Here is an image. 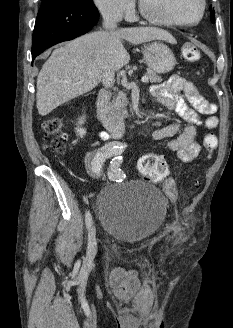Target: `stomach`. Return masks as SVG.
<instances>
[{
	"label": "stomach",
	"instance_id": "0dacf381",
	"mask_svg": "<svg viewBox=\"0 0 233 328\" xmlns=\"http://www.w3.org/2000/svg\"><path fill=\"white\" fill-rule=\"evenodd\" d=\"M143 55L148 67L155 73L170 72L176 65L173 52L162 42L154 41L146 44Z\"/></svg>",
	"mask_w": 233,
	"mask_h": 328
}]
</instances>
